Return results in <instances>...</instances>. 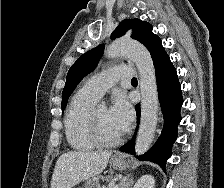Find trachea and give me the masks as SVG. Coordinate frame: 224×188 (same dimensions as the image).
Masks as SVG:
<instances>
[{"mask_svg": "<svg viewBox=\"0 0 224 188\" xmlns=\"http://www.w3.org/2000/svg\"><path fill=\"white\" fill-rule=\"evenodd\" d=\"M131 82H137V79L134 77L132 78Z\"/></svg>", "mask_w": 224, "mask_h": 188, "instance_id": "3493384b", "label": "trachea"}]
</instances>
